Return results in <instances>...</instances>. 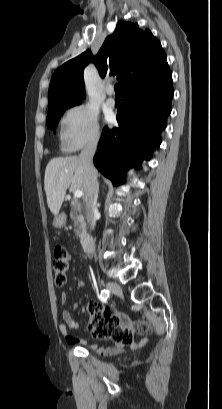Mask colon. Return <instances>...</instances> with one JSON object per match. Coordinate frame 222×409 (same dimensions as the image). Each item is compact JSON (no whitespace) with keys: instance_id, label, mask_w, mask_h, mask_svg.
<instances>
[{"instance_id":"5ec220e1","label":"colon","mask_w":222,"mask_h":409,"mask_svg":"<svg viewBox=\"0 0 222 409\" xmlns=\"http://www.w3.org/2000/svg\"><path fill=\"white\" fill-rule=\"evenodd\" d=\"M70 259V253L65 246L56 248L52 270L55 284L58 287L66 283ZM90 312L89 330L94 338L110 339L119 344H126L132 338V334H129L120 325V322L113 318L114 312L111 308L92 305Z\"/></svg>"}]
</instances>
